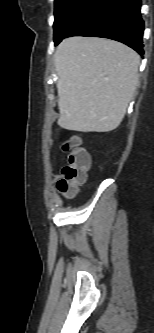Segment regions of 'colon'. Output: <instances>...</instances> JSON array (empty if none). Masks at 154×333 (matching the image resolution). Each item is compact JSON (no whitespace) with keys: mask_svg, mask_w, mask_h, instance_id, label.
Returning a JSON list of instances; mask_svg holds the SVG:
<instances>
[{"mask_svg":"<svg viewBox=\"0 0 154 333\" xmlns=\"http://www.w3.org/2000/svg\"><path fill=\"white\" fill-rule=\"evenodd\" d=\"M62 149L68 156L61 176L56 182V188L64 196L73 197L78 186L86 180L89 166L88 154L79 146V140L76 137L67 139L62 144Z\"/></svg>","mask_w":154,"mask_h":333,"instance_id":"5ec220e1","label":"colon"}]
</instances>
